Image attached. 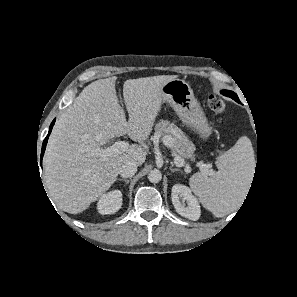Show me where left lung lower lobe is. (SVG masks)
<instances>
[{
    "label": "left lung lower lobe",
    "mask_w": 297,
    "mask_h": 297,
    "mask_svg": "<svg viewBox=\"0 0 297 297\" xmlns=\"http://www.w3.org/2000/svg\"><path fill=\"white\" fill-rule=\"evenodd\" d=\"M235 101H237L238 103H240L239 99H235Z\"/></svg>",
    "instance_id": "obj_1"
}]
</instances>
